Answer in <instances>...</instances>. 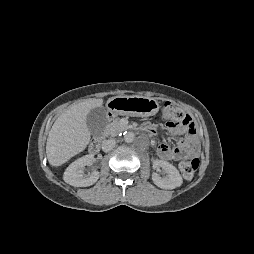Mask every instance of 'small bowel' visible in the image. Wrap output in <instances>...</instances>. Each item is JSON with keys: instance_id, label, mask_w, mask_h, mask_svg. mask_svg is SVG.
I'll return each mask as SVG.
<instances>
[{"instance_id": "small-bowel-1", "label": "small bowel", "mask_w": 254, "mask_h": 254, "mask_svg": "<svg viewBox=\"0 0 254 254\" xmlns=\"http://www.w3.org/2000/svg\"><path fill=\"white\" fill-rule=\"evenodd\" d=\"M143 128H146L151 134L155 133V128L150 124L144 125ZM172 132L175 135H182L185 132V128L184 127L173 128ZM198 151L199 148L197 141L191 135L178 138L176 148L172 149L166 143H162L158 147V155L160 158L164 160H176L183 153L195 155L198 153Z\"/></svg>"}]
</instances>
